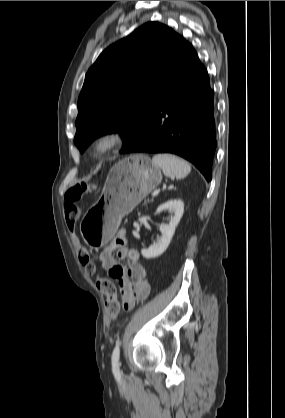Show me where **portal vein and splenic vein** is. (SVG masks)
Masks as SVG:
<instances>
[{
  "label": "portal vein and splenic vein",
  "instance_id": "18ae733b",
  "mask_svg": "<svg viewBox=\"0 0 285 418\" xmlns=\"http://www.w3.org/2000/svg\"><path fill=\"white\" fill-rule=\"evenodd\" d=\"M159 192H160V189H156L155 191H153L152 197H155L156 195H158Z\"/></svg>",
  "mask_w": 285,
  "mask_h": 418
}]
</instances>
